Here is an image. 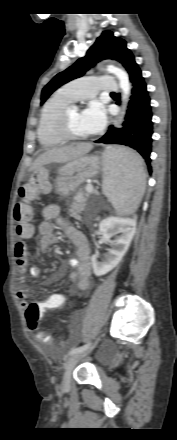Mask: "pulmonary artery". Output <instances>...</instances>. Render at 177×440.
I'll return each instance as SVG.
<instances>
[{"label": "pulmonary artery", "instance_id": "obj_1", "mask_svg": "<svg viewBox=\"0 0 177 440\" xmlns=\"http://www.w3.org/2000/svg\"><path fill=\"white\" fill-rule=\"evenodd\" d=\"M74 100H85L94 97L99 91L116 92L118 85L113 76L93 75L73 80L64 86Z\"/></svg>", "mask_w": 177, "mask_h": 440}]
</instances>
